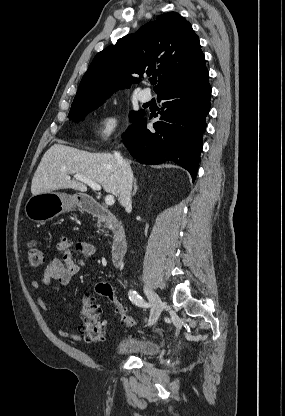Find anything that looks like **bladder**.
<instances>
[{"label": "bladder", "mask_w": 285, "mask_h": 416, "mask_svg": "<svg viewBox=\"0 0 285 416\" xmlns=\"http://www.w3.org/2000/svg\"><path fill=\"white\" fill-rule=\"evenodd\" d=\"M161 349V343L144 336H135L133 338H121L115 345L113 353L151 360L161 352Z\"/></svg>", "instance_id": "obj_1"}]
</instances>
